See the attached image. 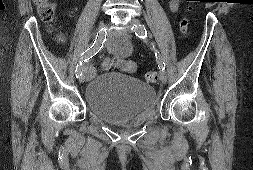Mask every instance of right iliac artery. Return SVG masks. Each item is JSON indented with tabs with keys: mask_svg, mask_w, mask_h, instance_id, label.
<instances>
[{
	"mask_svg": "<svg viewBox=\"0 0 253 170\" xmlns=\"http://www.w3.org/2000/svg\"><path fill=\"white\" fill-rule=\"evenodd\" d=\"M103 43L104 41L102 37L98 36L97 34L94 43L87 50H85V52L81 54L80 61L76 66V71H75L76 78H80L82 76L83 64L87 62L89 59H91L93 56H95L100 51V49L103 47Z\"/></svg>",
	"mask_w": 253,
	"mask_h": 170,
	"instance_id": "right-iliac-artery-1",
	"label": "right iliac artery"
}]
</instances>
